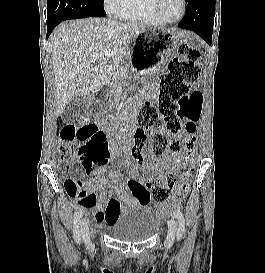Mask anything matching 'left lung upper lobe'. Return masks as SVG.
<instances>
[{"mask_svg": "<svg viewBox=\"0 0 265 273\" xmlns=\"http://www.w3.org/2000/svg\"><path fill=\"white\" fill-rule=\"evenodd\" d=\"M187 5L190 4L191 0H185ZM214 16H215V8H211L209 9L206 14L204 15V22L209 25V26H213V22H214Z\"/></svg>", "mask_w": 265, "mask_h": 273, "instance_id": "1", "label": "left lung upper lobe"}]
</instances>
